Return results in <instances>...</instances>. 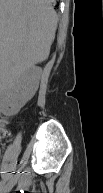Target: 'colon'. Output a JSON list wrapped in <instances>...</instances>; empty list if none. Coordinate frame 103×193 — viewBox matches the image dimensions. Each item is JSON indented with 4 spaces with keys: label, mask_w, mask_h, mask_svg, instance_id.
I'll return each instance as SVG.
<instances>
[{
    "label": "colon",
    "mask_w": 103,
    "mask_h": 193,
    "mask_svg": "<svg viewBox=\"0 0 103 193\" xmlns=\"http://www.w3.org/2000/svg\"><path fill=\"white\" fill-rule=\"evenodd\" d=\"M7 131H8V130L5 129L4 127L1 129V137H2V138H6L5 135H6Z\"/></svg>",
    "instance_id": "5ec220e1"
}]
</instances>
